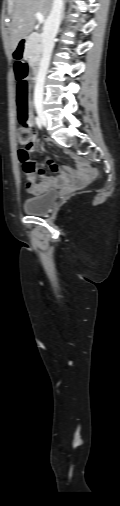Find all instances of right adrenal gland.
<instances>
[{
	"mask_svg": "<svg viewBox=\"0 0 120 506\" xmlns=\"http://www.w3.org/2000/svg\"><path fill=\"white\" fill-rule=\"evenodd\" d=\"M64 11H65V3H64V5H63L62 20L64 19Z\"/></svg>",
	"mask_w": 120,
	"mask_h": 506,
	"instance_id": "right-adrenal-gland-1",
	"label": "right adrenal gland"
}]
</instances>
